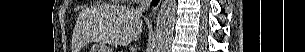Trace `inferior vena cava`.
<instances>
[{
    "instance_id": "602c4592",
    "label": "inferior vena cava",
    "mask_w": 305,
    "mask_h": 52,
    "mask_svg": "<svg viewBox=\"0 0 305 52\" xmlns=\"http://www.w3.org/2000/svg\"><path fill=\"white\" fill-rule=\"evenodd\" d=\"M151 0H140L138 10L140 12L147 10L150 7Z\"/></svg>"
}]
</instances>
